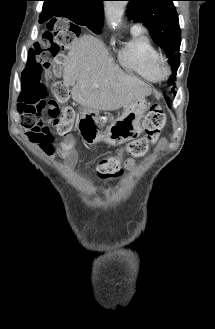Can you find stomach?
I'll return each instance as SVG.
<instances>
[{"instance_id": "1", "label": "stomach", "mask_w": 215, "mask_h": 329, "mask_svg": "<svg viewBox=\"0 0 215 329\" xmlns=\"http://www.w3.org/2000/svg\"><path fill=\"white\" fill-rule=\"evenodd\" d=\"M147 110V102L144 98L137 99L124 106L123 113L120 117L111 122L104 132H97L95 138L90 142L96 143L101 140L109 145L119 146L141 134V119ZM80 114L97 119L98 113L90 108L82 107Z\"/></svg>"}]
</instances>
